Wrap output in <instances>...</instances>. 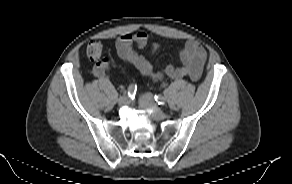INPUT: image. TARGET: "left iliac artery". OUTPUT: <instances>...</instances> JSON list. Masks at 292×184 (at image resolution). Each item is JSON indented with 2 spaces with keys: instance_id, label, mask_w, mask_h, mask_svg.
I'll return each instance as SVG.
<instances>
[{
  "instance_id": "left-iliac-artery-1",
  "label": "left iliac artery",
  "mask_w": 292,
  "mask_h": 184,
  "mask_svg": "<svg viewBox=\"0 0 292 184\" xmlns=\"http://www.w3.org/2000/svg\"><path fill=\"white\" fill-rule=\"evenodd\" d=\"M154 98L159 105H164L166 103V100L162 95H155Z\"/></svg>"
}]
</instances>
